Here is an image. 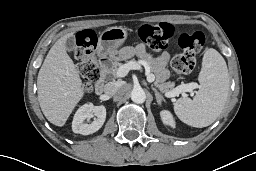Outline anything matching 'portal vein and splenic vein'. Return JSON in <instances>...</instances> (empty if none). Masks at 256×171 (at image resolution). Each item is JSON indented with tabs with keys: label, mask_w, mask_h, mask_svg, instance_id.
Segmentation results:
<instances>
[{
	"label": "portal vein and splenic vein",
	"mask_w": 256,
	"mask_h": 171,
	"mask_svg": "<svg viewBox=\"0 0 256 171\" xmlns=\"http://www.w3.org/2000/svg\"><path fill=\"white\" fill-rule=\"evenodd\" d=\"M141 65L146 68V77L148 82H153L155 80V76L150 73L149 66L145 61H131L129 63L121 65L117 70V77H125L130 70L140 69ZM197 87L195 83H188L181 86L176 87L174 90L165 93L166 97H175L181 93L190 92L191 94L194 93V89Z\"/></svg>",
	"instance_id": "1"
}]
</instances>
